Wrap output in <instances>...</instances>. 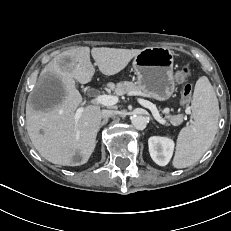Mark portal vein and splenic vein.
Returning <instances> with one entry per match:
<instances>
[{"label":"portal vein and splenic vein","mask_w":231,"mask_h":231,"mask_svg":"<svg viewBox=\"0 0 231 231\" xmlns=\"http://www.w3.org/2000/svg\"><path fill=\"white\" fill-rule=\"evenodd\" d=\"M92 101L94 103L101 104V105H104V106H112V105H115L118 102V97L117 96H112V95H105V94L104 95H97L92 99ZM140 104L142 106L148 108L151 111L153 117L155 118V120L157 122H159L160 124H166V120L160 116L157 107L153 103H151V102H149L147 100H141ZM83 111H84L83 107H79L77 109V111L75 113V120L76 121L80 118Z\"/></svg>","instance_id":"1"}]
</instances>
